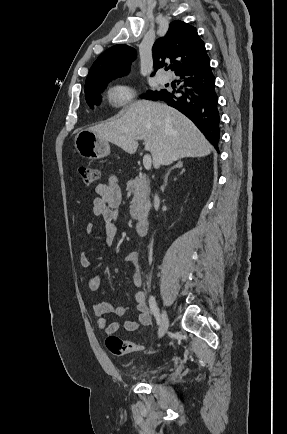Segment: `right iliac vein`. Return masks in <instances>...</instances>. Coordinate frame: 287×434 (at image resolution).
<instances>
[{
    "label": "right iliac vein",
    "mask_w": 287,
    "mask_h": 434,
    "mask_svg": "<svg viewBox=\"0 0 287 434\" xmlns=\"http://www.w3.org/2000/svg\"><path fill=\"white\" fill-rule=\"evenodd\" d=\"M161 324H160V328H159V338L163 337L169 327V318L167 315L166 310L163 308L162 309V314H161Z\"/></svg>",
    "instance_id": "right-iliac-vein-1"
}]
</instances>
